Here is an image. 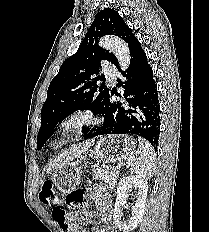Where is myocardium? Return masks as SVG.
Segmentation results:
<instances>
[{
    "mask_svg": "<svg viewBox=\"0 0 209 232\" xmlns=\"http://www.w3.org/2000/svg\"><path fill=\"white\" fill-rule=\"evenodd\" d=\"M95 122L96 118L91 113L79 110L68 115L60 123L59 129L62 133L74 134L85 130Z\"/></svg>",
    "mask_w": 209,
    "mask_h": 232,
    "instance_id": "obj_1",
    "label": "myocardium"
}]
</instances>
